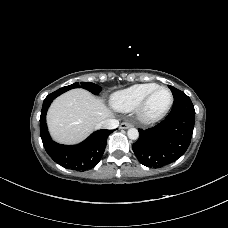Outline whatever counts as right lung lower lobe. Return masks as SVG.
I'll return each instance as SVG.
<instances>
[{
	"instance_id": "1",
	"label": "right lung lower lobe",
	"mask_w": 228,
	"mask_h": 228,
	"mask_svg": "<svg viewBox=\"0 0 228 228\" xmlns=\"http://www.w3.org/2000/svg\"><path fill=\"white\" fill-rule=\"evenodd\" d=\"M60 94L55 91L49 94L43 102L40 116V135L48 155L59 165L76 170L87 171L96 166L104 153L110 130H98L78 145H61L54 142L48 132L46 113L51 102Z\"/></svg>"
}]
</instances>
